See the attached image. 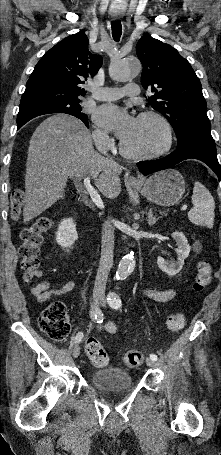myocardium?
<instances>
[{"label":"myocardium","mask_w":221,"mask_h":455,"mask_svg":"<svg viewBox=\"0 0 221 455\" xmlns=\"http://www.w3.org/2000/svg\"><path fill=\"white\" fill-rule=\"evenodd\" d=\"M143 118H153L160 124V126L162 127V130H163L164 142L160 147H158L154 150L140 152V151H133V150L129 149L124 144V142L121 141L119 143L120 152L124 156L134 159V160L153 159V158L160 157V156L164 155L165 153H167L173 145L172 126L164 115H162L161 113L154 111V110H145L138 115V119H143Z\"/></svg>","instance_id":"1"}]
</instances>
